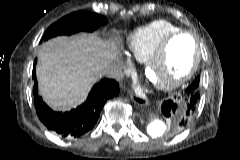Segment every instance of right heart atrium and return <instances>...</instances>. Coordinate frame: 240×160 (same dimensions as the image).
I'll use <instances>...</instances> for the list:
<instances>
[{
    "mask_svg": "<svg viewBox=\"0 0 240 160\" xmlns=\"http://www.w3.org/2000/svg\"><path fill=\"white\" fill-rule=\"evenodd\" d=\"M124 63H125L126 65H129V64H130V61L127 59V60L124 61Z\"/></svg>",
    "mask_w": 240,
    "mask_h": 160,
    "instance_id": "obj_1",
    "label": "right heart atrium"
}]
</instances>
